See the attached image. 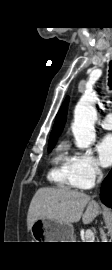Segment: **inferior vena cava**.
I'll return each mask as SVG.
<instances>
[{"instance_id":"inferior-vena-cava-1","label":"inferior vena cava","mask_w":112,"mask_h":270,"mask_svg":"<svg viewBox=\"0 0 112 270\" xmlns=\"http://www.w3.org/2000/svg\"><path fill=\"white\" fill-rule=\"evenodd\" d=\"M97 173L99 175L98 179H97V184H99L102 181L103 175H102V172L99 168L97 169ZM100 234H101L102 239H105V234H104V231L102 229H100Z\"/></svg>"}]
</instances>
